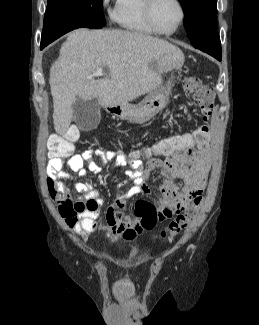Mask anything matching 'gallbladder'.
<instances>
[{
  "instance_id": "1",
  "label": "gallbladder",
  "mask_w": 259,
  "mask_h": 325,
  "mask_svg": "<svg viewBox=\"0 0 259 325\" xmlns=\"http://www.w3.org/2000/svg\"><path fill=\"white\" fill-rule=\"evenodd\" d=\"M75 120L84 128H95L100 122V112L95 99L84 100L77 97L72 104Z\"/></svg>"
}]
</instances>
